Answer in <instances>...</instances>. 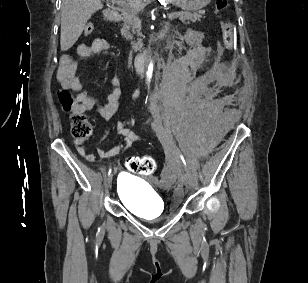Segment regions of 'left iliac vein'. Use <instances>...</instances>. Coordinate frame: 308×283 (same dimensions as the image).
I'll use <instances>...</instances> for the list:
<instances>
[{"label":"left iliac vein","mask_w":308,"mask_h":283,"mask_svg":"<svg viewBox=\"0 0 308 283\" xmlns=\"http://www.w3.org/2000/svg\"><path fill=\"white\" fill-rule=\"evenodd\" d=\"M182 182L187 188H192L193 177L189 172H185L182 176Z\"/></svg>","instance_id":"4c4485c4"}]
</instances>
